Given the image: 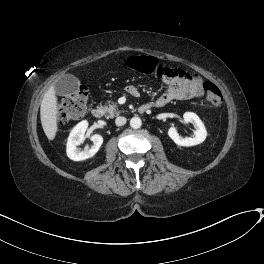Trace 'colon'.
Masks as SVG:
<instances>
[{
	"label": "colon",
	"instance_id": "obj_1",
	"mask_svg": "<svg viewBox=\"0 0 264 264\" xmlns=\"http://www.w3.org/2000/svg\"><path fill=\"white\" fill-rule=\"evenodd\" d=\"M128 67L132 70L155 75L158 78L169 77L172 69L160 65L156 59L146 56H132L127 61ZM203 91L207 102L214 107H219L223 103V96L220 89L211 81H205L203 84ZM88 88L80 86L70 97L65 99L60 108L59 116L63 122L71 119H79L83 117L86 110V103L88 100Z\"/></svg>",
	"mask_w": 264,
	"mask_h": 264
}]
</instances>
